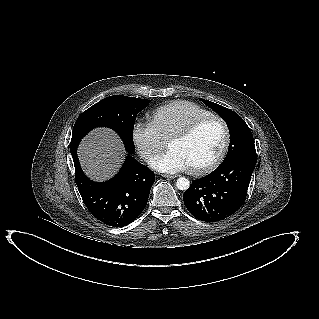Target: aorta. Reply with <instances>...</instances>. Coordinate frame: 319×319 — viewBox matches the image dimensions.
I'll return each instance as SVG.
<instances>
[{"mask_svg": "<svg viewBox=\"0 0 319 319\" xmlns=\"http://www.w3.org/2000/svg\"><path fill=\"white\" fill-rule=\"evenodd\" d=\"M176 186L180 190H187L190 186V182L187 178L180 177L176 182Z\"/></svg>", "mask_w": 319, "mask_h": 319, "instance_id": "aorta-1", "label": "aorta"}]
</instances>
